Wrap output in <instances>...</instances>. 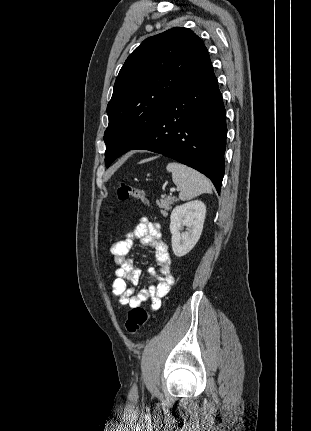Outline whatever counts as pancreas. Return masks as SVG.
Here are the masks:
<instances>
[{
    "instance_id": "1",
    "label": "pancreas",
    "mask_w": 311,
    "mask_h": 431,
    "mask_svg": "<svg viewBox=\"0 0 311 431\" xmlns=\"http://www.w3.org/2000/svg\"><path fill=\"white\" fill-rule=\"evenodd\" d=\"M175 202H179L178 198H175V196H167V198H163V200L156 202V204L161 208V214L166 217L168 216V210H171L172 204H175Z\"/></svg>"
}]
</instances>
